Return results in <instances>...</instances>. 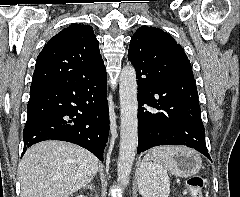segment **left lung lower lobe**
I'll use <instances>...</instances> for the list:
<instances>
[{"label":"left lung lower lobe","instance_id":"obj_1","mask_svg":"<svg viewBox=\"0 0 240 197\" xmlns=\"http://www.w3.org/2000/svg\"><path fill=\"white\" fill-rule=\"evenodd\" d=\"M137 73L138 154L159 145H185L211 160L195 83L169 85ZM145 105V106H144Z\"/></svg>","mask_w":240,"mask_h":197}]
</instances>
